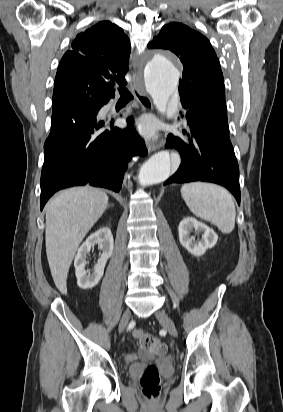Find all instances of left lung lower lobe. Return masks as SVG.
<instances>
[{
    "instance_id": "left-lung-lower-lobe-1",
    "label": "left lung lower lobe",
    "mask_w": 283,
    "mask_h": 412,
    "mask_svg": "<svg viewBox=\"0 0 283 412\" xmlns=\"http://www.w3.org/2000/svg\"><path fill=\"white\" fill-rule=\"evenodd\" d=\"M190 132L186 138L168 136L167 147L181 155V165L164 185L205 181L226 187L240 204L239 167L229 138V128L213 127L187 111Z\"/></svg>"
}]
</instances>
